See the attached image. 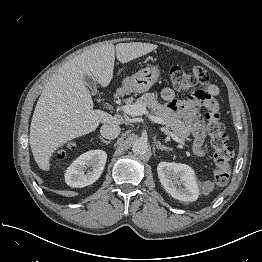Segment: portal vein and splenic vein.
<instances>
[{
  "instance_id": "1",
  "label": "portal vein and splenic vein",
  "mask_w": 262,
  "mask_h": 262,
  "mask_svg": "<svg viewBox=\"0 0 262 262\" xmlns=\"http://www.w3.org/2000/svg\"><path fill=\"white\" fill-rule=\"evenodd\" d=\"M117 110H121L124 114L126 115H130V116H139V115H143V114H146L148 116V118L154 122V123H158V124H162L163 121L150 114L146 107L142 104H127V105H124V106H121L120 108H117ZM163 131L166 130L165 128L162 129ZM167 134H169L171 136V138L176 141L177 143H179L180 145H183V146H187L183 140H181L178 136H176L174 133H172L171 131H167Z\"/></svg>"
}]
</instances>
